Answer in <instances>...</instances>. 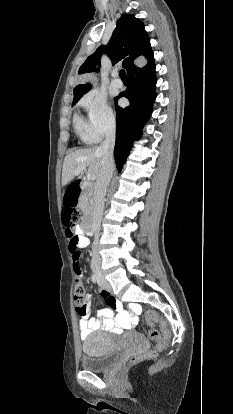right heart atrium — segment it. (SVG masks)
I'll return each instance as SVG.
<instances>
[{
  "mask_svg": "<svg viewBox=\"0 0 233 414\" xmlns=\"http://www.w3.org/2000/svg\"><path fill=\"white\" fill-rule=\"evenodd\" d=\"M86 112V133L84 140L90 143L99 142L112 133L116 126V116L104 96L89 93L80 101Z\"/></svg>",
  "mask_w": 233,
  "mask_h": 414,
  "instance_id": "right-heart-atrium-1",
  "label": "right heart atrium"
}]
</instances>
